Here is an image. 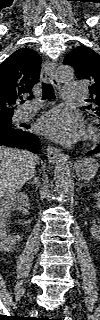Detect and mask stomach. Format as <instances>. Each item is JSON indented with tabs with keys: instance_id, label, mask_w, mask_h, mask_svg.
Here are the masks:
<instances>
[{
	"instance_id": "stomach-1",
	"label": "stomach",
	"mask_w": 100,
	"mask_h": 320,
	"mask_svg": "<svg viewBox=\"0 0 100 320\" xmlns=\"http://www.w3.org/2000/svg\"><path fill=\"white\" fill-rule=\"evenodd\" d=\"M99 167L100 165L97 160L93 158H84L75 165L76 175L81 180L92 179L96 175Z\"/></svg>"
}]
</instances>
